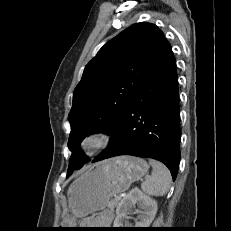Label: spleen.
Instances as JSON below:
<instances>
[{
    "instance_id": "spleen-1",
    "label": "spleen",
    "mask_w": 231,
    "mask_h": 231,
    "mask_svg": "<svg viewBox=\"0 0 231 231\" xmlns=\"http://www.w3.org/2000/svg\"><path fill=\"white\" fill-rule=\"evenodd\" d=\"M153 171L141 184L143 192L151 196H164L171 184V174L168 168L156 160L150 159Z\"/></svg>"
}]
</instances>
